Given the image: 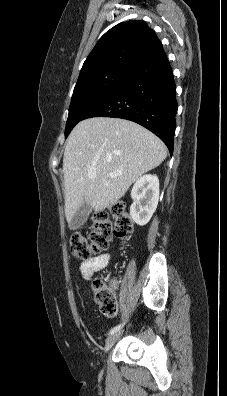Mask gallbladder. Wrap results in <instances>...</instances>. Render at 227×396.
Returning a JSON list of instances; mask_svg holds the SVG:
<instances>
[{
  "mask_svg": "<svg viewBox=\"0 0 227 396\" xmlns=\"http://www.w3.org/2000/svg\"><path fill=\"white\" fill-rule=\"evenodd\" d=\"M90 211L91 207L84 201L69 222V229L76 230L81 227L86 221Z\"/></svg>",
  "mask_w": 227,
  "mask_h": 396,
  "instance_id": "gallbladder-1",
  "label": "gallbladder"
}]
</instances>
